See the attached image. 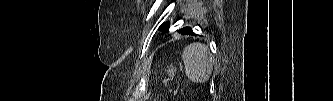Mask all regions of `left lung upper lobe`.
Returning <instances> with one entry per match:
<instances>
[{
	"label": "left lung upper lobe",
	"mask_w": 333,
	"mask_h": 101,
	"mask_svg": "<svg viewBox=\"0 0 333 101\" xmlns=\"http://www.w3.org/2000/svg\"><path fill=\"white\" fill-rule=\"evenodd\" d=\"M168 28H169V24H168V23H165V24H163L159 29H160L161 31H165V30L168 31Z\"/></svg>",
	"instance_id": "obj_1"
}]
</instances>
